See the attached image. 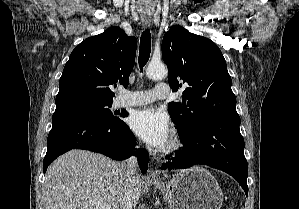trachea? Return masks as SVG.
I'll list each match as a JSON object with an SVG mask.
<instances>
[{
	"label": "trachea",
	"mask_w": 299,
	"mask_h": 209,
	"mask_svg": "<svg viewBox=\"0 0 299 209\" xmlns=\"http://www.w3.org/2000/svg\"><path fill=\"white\" fill-rule=\"evenodd\" d=\"M151 53V35L150 30L143 31L140 38V50H139V66L142 70L145 64L148 62Z\"/></svg>",
	"instance_id": "3493384b"
}]
</instances>
